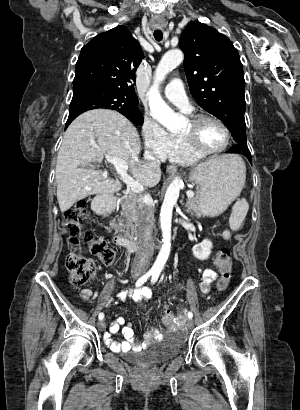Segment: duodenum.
<instances>
[{
	"label": "duodenum",
	"mask_w": 300,
	"mask_h": 410,
	"mask_svg": "<svg viewBox=\"0 0 300 410\" xmlns=\"http://www.w3.org/2000/svg\"><path fill=\"white\" fill-rule=\"evenodd\" d=\"M94 211L99 216H105L112 211H114V206L111 204L109 198H98L94 202ZM114 243L119 246L126 248L128 250H135L136 242L134 237H125L122 235H117L113 237Z\"/></svg>",
	"instance_id": "1"
}]
</instances>
